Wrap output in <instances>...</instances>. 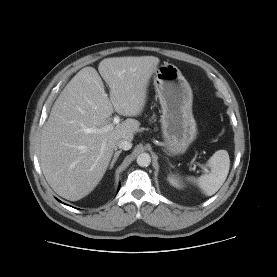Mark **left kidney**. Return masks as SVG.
Wrapping results in <instances>:
<instances>
[{
  "label": "left kidney",
  "instance_id": "5707ae66",
  "mask_svg": "<svg viewBox=\"0 0 277 277\" xmlns=\"http://www.w3.org/2000/svg\"><path fill=\"white\" fill-rule=\"evenodd\" d=\"M168 181H169V183H170L172 186H174V187H176V188H181V187H182L180 181H179V180L177 179V177H175L174 175H170V176L168 177Z\"/></svg>",
  "mask_w": 277,
  "mask_h": 277
}]
</instances>
